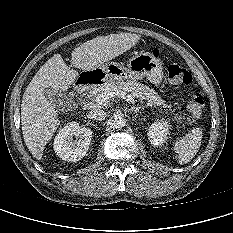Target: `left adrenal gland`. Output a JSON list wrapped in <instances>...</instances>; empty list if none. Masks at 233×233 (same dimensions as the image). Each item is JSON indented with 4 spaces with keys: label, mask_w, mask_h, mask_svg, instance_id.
Returning <instances> with one entry per match:
<instances>
[{
    "label": "left adrenal gland",
    "mask_w": 233,
    "mask_h": 233,
    "mask_svg": "<svg viewBox=\"0 0 233 233\" xmlns=\"http://www.w3.org/2000/svg\"><path fill=\"white\" fill-rule=\"evenodd\" d=\"M142 108H144V106H138V107L133 106L130 108V111L135 112V113H139V110Z\"/></svg>",
    "instance_id": "left-adrenal-gland-1"
}]
</instances>
